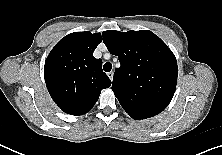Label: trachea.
<instances>
[{
	"instance_id": "trachea-1",
	"label": "trachea",
	"mask_w": 222,
	"mask_h": 155,
	"mask_svg": "<svg viewBox=\"0 0 222 155\" xmlns=\"http://www.w3.org/2000/svg\"><path fill=\"white\" fill-rule=\"evenodd\" d=\"M105 72H110L112 69V64L110 62H106L103 66Z\"/></svg>"
}]
</instances>
